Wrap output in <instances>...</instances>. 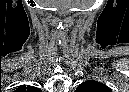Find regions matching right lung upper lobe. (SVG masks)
<instances>
[{
	"instance_id": "cb5924a9",
	"label": "right lung upper lobe",
	"mask_w": 129,
	"mask_h": 92,
	"mask_svg": "<svg viewBox=\"0 0 129 92\" xmlns=\"http://www.w3.org/2000/svg\"><path fill=\"white\" fill-rule=\"evenodd\" d=\"M19 89L20 90H26V89H28V90H34L33 87H26V86H22Z\"/></svg>"
}]
</instances>
